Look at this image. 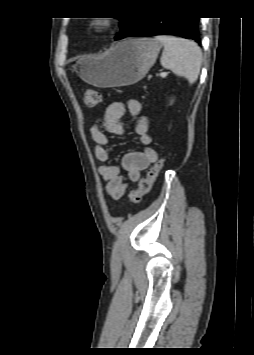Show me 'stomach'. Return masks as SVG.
Returning a JSON list of instances; mask_svg holds the SVG:
<instances>
[{"mask_svg":"<svg viewBox=\"0 0 254 355\" xmlns=\"http://www.w3.org/2000/svg\"><path fill=\"white\" fill-rule=\"evenodd\" d=\"M162 45L151 38H127L100 57L83 56L72 66L79 77L97 87H120L145 77Z\"/></svg>","mask_w":254,"mask_h":355,"instance_id":"stomach-1","label":"stomach"}]
</instances>
